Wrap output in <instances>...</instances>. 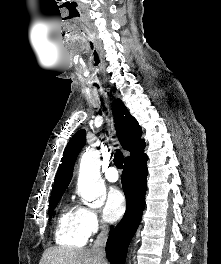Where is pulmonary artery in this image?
I'll return each instance as SVG.
<instances>
[{"label": "pulmonary artery", "mask_w": 221, "mask_h": 264, "mask_svg": "<svg viewBox=\"0 0 221 264\" xmlns=\"http://www.w3.org/2000/svg\"><path fill=\"white\" fill-rule=\"evenodd\" d=\"M105 177L110 182H116L119 178L117 169L114 166H110L105 171Z\"/></svg>", "instance_id": "1"}]
</instances>
